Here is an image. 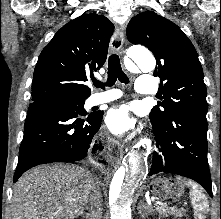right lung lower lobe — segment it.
Listing matches in <instances>:
<instances>
[{"mask_svg":"<svg viewBox=\"0 0 221 219\" xmlns=\"http://www.w3.org/2000/svg\"><path fill=\"white\" fill-rule=\"evenodd\" d=\"M103 112L79 113L68 103H31L14 182L28 169L52 162H75L101 157L106 146L95 134Z\"/></svg>","mask_w":221,"mask_h":219,"instance_id":"right-lung-lower-lobe-1","label":"right lung lower lobe"}]
</instances>
